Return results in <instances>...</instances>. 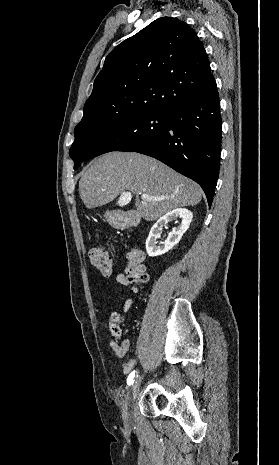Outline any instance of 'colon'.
Masks as SVG:
<instances>
[{"mask_svg": "<svg viewBox=\"0 0 279 465\" xmlns=\"http://www.w3.org/2000/svg\"><path fill=\"white\" fill-rule=\"evenodd\" d=\"M88 256L91 264L99 270L104 276L113 275L112 259L105 249L99 246H93L89 249ZM144 253L138 248H133L128 253L127 280L132 285L134 291H137L148 281V275L144 265ZM118 317L113 316L109 325V332L113 336H119L120 330L117 326Z\"/></svg>", "mask_w": 279, "mask_h": 465, "instance_id": "5ec220e1", "label": "colon"}]
</instances>
